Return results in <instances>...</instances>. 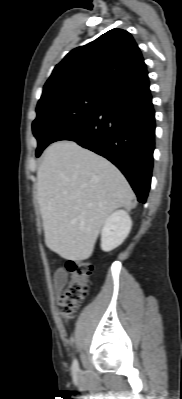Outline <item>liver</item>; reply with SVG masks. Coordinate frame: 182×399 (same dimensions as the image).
I'll return each instance as SVG.
<instances>
[{
	"label": "liver",
	"mask_w": 182,
	"mask_h": 399,
	"mask_svg": "<svg viewBox=\"0 0 182 399\" xmlns=\"http://www.w3.org/2000/svg\"><path fill=\"white\" fill-rule=\"evenodd\" d=\"M46 246L64 259H88L106 218L131 209L134 193L105 158L72 141L53 143L37 171Z\"/></svg>",
	"instance_id": "6515ba94"
}]
</instances>
